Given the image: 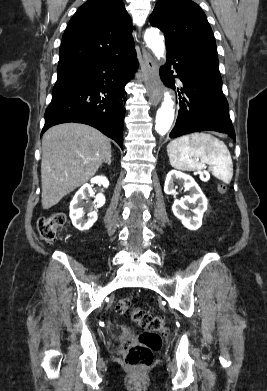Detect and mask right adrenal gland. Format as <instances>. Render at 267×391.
<instances>
[{"label": "right adrenal gland", "instance_id": "right-adrenal-gland-1", "mask_svg": "<svg viewBox=\"0 0 267 391\" xmlns=\"http://www.w3.org/2000/svg\"><path fill=\"white\" fill-rule=\"evenodd\" d=\"M105 163H107L108 165H111V158H109L108 161H106Z\"/></svg>", "mask_w": 267, "mask_h": 391}]
</instances>
